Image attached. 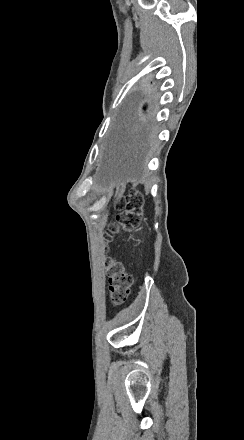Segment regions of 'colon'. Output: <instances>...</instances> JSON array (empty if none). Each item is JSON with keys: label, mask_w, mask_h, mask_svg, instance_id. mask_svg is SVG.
Segmentation results:
<instances>
[{"label": "colon", "mask_w": 244, "mask_h": 440, "mask_svg": "<svg viewBox=\"0 0 244 440\" xmlns=\"http://www.w3.org/2000/svg\"><path fill=\"white\" fill-rule=\"evenodd\" d=\"M117 208L119 210L116 218L117 224L106 230L105 236L107 238H112L120 229L129 231L139 226L142 216V200L139 191L131 190L125 205L117 204ZM106 272L109 279L108 298L112 304L122 305L129 296L130 286L133 282L132 276L117 260H111L107 263Z\"/></svg>", "instance_id": "obj_1"}]
</instances>
